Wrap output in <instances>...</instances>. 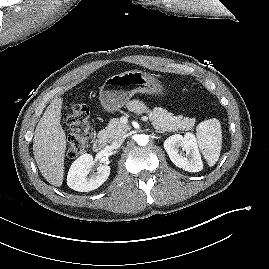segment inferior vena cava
<instances>
[{"label":"inferior vena cava","instance_id":"inferior-vena-cava-1","mask_svg":"<svg viewBox=\"0 0 269 269\" xmlns=\"http://www.w3.org/2000/svg\"><path fill=\"white\" fill-rule=\"evenodd\" d=\"M124 139L123 138H118L117 140H115L112 143V148L117 149L121 146V144L123 143Z\"/></svg>","mask_w":269,"mask_h":269}]
</instances>
